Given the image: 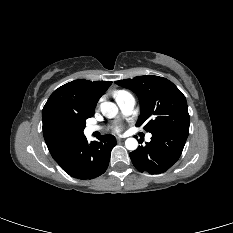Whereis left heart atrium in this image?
Here are the masks:
<instances>
[{
  "label": "left heart atrium",
  "mask_w": 233,
  "mask_h": 233,
  "mask_svg": "<svg viewBox=\"0 0 233 233\" xmlns=\"http://www.w3.org/2000/svg\"><path fill=\"white\" fill-rule=\"evenodd\" d=\"M119 130H120L119 128L116 129V131H119Z\"/></svg>",
  "instance_id": "left-heart-atrium-1"
}]
</instances>
